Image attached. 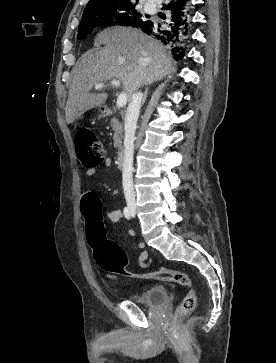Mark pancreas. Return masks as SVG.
Segmentation results:
<instances>
[{
  "label": "pancreas",
  "mask_w": 276,
  "mask_h": 363,
  "mask_svg": "<svg viewBox=\"0 0 276 363\" xmlns=\"http://www.w3.org/2000/svg\"><path fill=\"white\" fill-rule=\"evenodd\" d=\"M110 125L114 130V147L117 149H122V139H123V125L119 122L116 117H113L110 121Z\"/></svg>",
  "instance_id": "cf45deb5"
}]
</instances>
